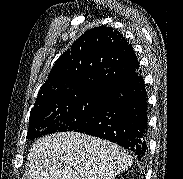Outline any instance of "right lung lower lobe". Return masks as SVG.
Here are the masks:
<instances>
[{
  "instance_id": "98d812e1",
  "label": "right lung lower lobe",
  "mask_w": 183,
  "mask_h": 179,
  "mask_svg": "<svg viewBox=\"0 0 183 179\" xmlns=\"http://www.w3.org/2000/svg\"><path fill=\"white\" fill-rule=\"evenodd\" d=\"M147 116V92L139 69L107 86L94 116L76 132L117 143L143 160L147 151Z\"/></svg>"
}]
</instances>
